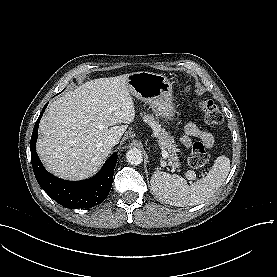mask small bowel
Listing matches in <instances>:
<instances>
[{
    "label": "small bowel",
    "mask_w": 277,
    "mask_h": 277,
    "mask_svg": "<svg viewBox=\"0 0 277 277\" xmlns=\"http://www.w3.org/2000/svg\"><path fill=\"white\" fill-rule=\"evenodd\" d=\"M192 137H196L201 140L205 148L211 149L214 144L213 135L201 130L196 124L188 123L184 126L180 140L185 147H190L192 144Z\"/></svg>",
    "instance_id": "1"
}]
</instances>
